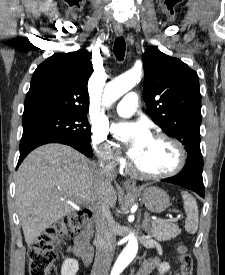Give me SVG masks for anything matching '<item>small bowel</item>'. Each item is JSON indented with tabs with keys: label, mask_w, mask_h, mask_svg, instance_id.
<instances>
[{
	"label": "small bowel",
	"mask_w": 225,
	"mask_h": 275,
	"mask_svg": "<svg viewBox=\"0 0 225 275\" xmlns=\"http://www.w3.org/2000/svg\"><path fill=\"white\" fill-rule=\"evenodd\" d=\"M68 250L69 251H74V247H70ZM158 262H159L158 259H150V260L146 261L142 265V267L140 268L137 275H148V274H150L154 270V268L157 266Z\"/></svg>",
	"instance_id": "small-bowel-1"
}]
</instances>
